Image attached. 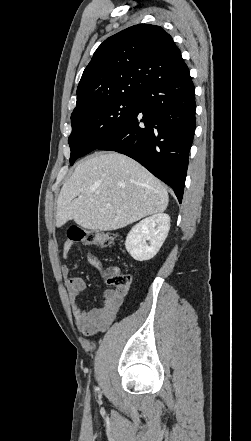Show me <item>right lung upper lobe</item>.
<instances>
[{
	"instance_id": "obj_1",
	"label": "right lung upper lobe",
	"mask_w": 251,
	"mask_h": 441,
	"mask_svg": "<svg viewBox=\"0 0 251 441\" xmlns=\"http://www.w3.org/2000/svg\"><path fill=\"white\" fill-rule=\"evenodd\" d=\"M185 67L179 48L162 27L131 26L97 48L79 82L72 114L104 98L141 95Z\"/></svg>"
}]
</instances>
